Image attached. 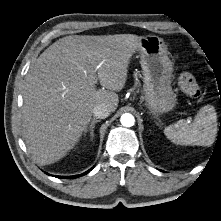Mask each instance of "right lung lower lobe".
<instances>
[{
	"mask_svg": "<svg viewBox=\"0 0 221 221\" xmlns=\"http://www.w3.org/2000/svg\"><path fill=\"white\" fill-rule=\"evenodd\" d=\"M90 171H91V169L88 170V171H86V172H84L83 174H81V175H77V176H69V177L57 176V177H58V178H64V179L76 178V177H79V176H83V175L87 174V173L90 172Z\"/></svg>",
	"mask_w": 221,
	"mask_h": 221,
	"instance_id": "1",
	"label": "right lung lower lobe"
}]
</instances>
